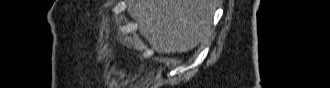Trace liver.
I'll list each match as a JSON object with an SVG mask.
<instances>
[{
    "mask_svg": "<svg viewBox=\"0 0 330 88\" xmlns=\"http://www.w3.org/2000/svg\"><path fill=\"white\" fill-rule=\"evenodd\" d=\"M216 0H129L128 14L158 53H183L208 41Z\"/></svg>",
    "mask_w": 330,
    "mask_h": 88,
    "instance_id": "obj_1",
    "label": "liver"
}]
</instances>
